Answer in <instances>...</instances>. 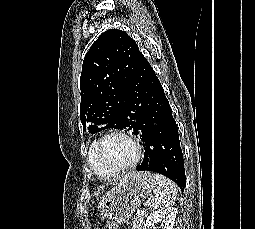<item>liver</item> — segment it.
I'll use <instances>...</instances> for the list:
<instances>
[{"mask_svg": "<svg viewBox=\"0 0 255 229\" xmlns=\"http://www.w3.org/2000/svg\"><path fill=\"white\" fill-rule=\"evenodd\" d=\"M113 190V189H112ZM105 196H107V194L105 195ZM105 196L102 198V200L105 198ZM102 202V201H101ZM101 202H100V205H101Z\"/></svg>", "mask_w": 255, "mask_h": 229, "instance_id": "obj_1", "label": "liver"}]
</instances>
